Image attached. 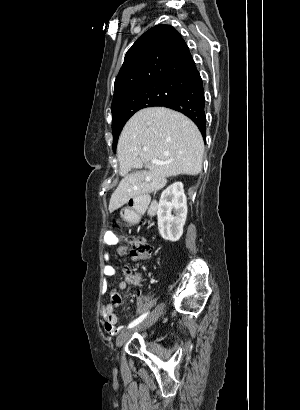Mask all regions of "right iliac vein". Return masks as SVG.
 Listing matches in <instances>:
<instances>
[{
  "instance_id": "right-iliac-vein-1",
  "label": "right iliac vein",
  "mask_w": 300,
  "mask_h": 410,
  "mask_svg": "<svg viewBox=\"0 0 300 410\" xmlns=\"http://www.w3.org/2000/svg\"><path fill=\"white\" fill-rule=\"evenodd\" d=\"M163 309H164V305H163V304L158 305V306L151 312V314H150L143 322H141L138 326H136V327H134V328H132V329H129V330H127V331L122 332V333L118 336V338H117L116 346H117V347H121V346L125 343V341H126L134 332H136V331H141V330L147 329V328H149L150 326H152V325L157 321V319L160 317V315L162 314Z\"/></svg>"
}]
</instances>
